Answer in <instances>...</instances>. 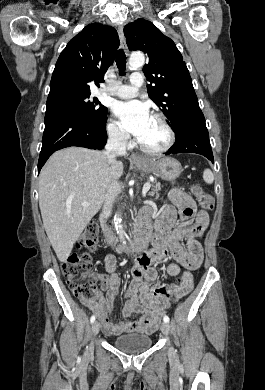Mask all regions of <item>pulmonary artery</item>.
Instances as JSON below:
<instances>
[{
  "instance_id": "pulmonary-artery-1",
  "label": "pulmonary artery",
  "mask_w": 265,
  "mask_h": 390,
  "mask_svg": "<svg viewBox=\"0 0 265 390\" xmlns=\"http://www.w3.org/2000/svg\"><path fill=\"white\" fill-rule=\"evenodd\" d=\"M143 84V76L141 73H133L130 78L129 85H114L100 89V93L113 95L119 98L134 97L138 88Z\"/></svg>"
}]
</instances>
